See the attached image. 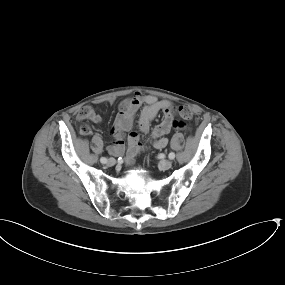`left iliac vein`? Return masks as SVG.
Here are the masks:
<instances>
[{"mask_svg": "<svg viewBox=\"0 0 285 285\" xmlns=\"http://www.w3.org/2000/svg\"><path fill=\"white\" fill-rule=\"evenodd\" d=\"M172 166V162L170 160H162L160 163H159V168L161 170H168L170 169Z\"/></svg>", "mask_w": 285, "mask_h": 285, "instance_id": "4c4485c4", "label": "left iliac vein"}]
</instances>
